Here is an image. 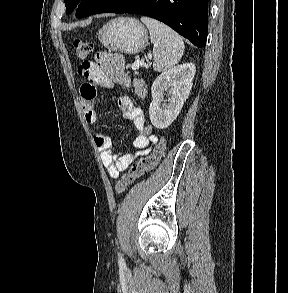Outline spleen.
<instances>
[{
  "mask_svg": "<svg viewBox=\"0 0 288 293\" xmlns=\"http://www.w3.org/2000/svg\"><path fill=\"white\" fill-rule=\"evenodd\" d=\"M148 27L153 43V68L164 72L175 66L181 59L185 45L180 35L167 25L149 17H141Z\"/></svg>",
  "mask_w": 288,
  "mask_h": 293,
  "instance_id": "spleen-1",
  "label": "spleen"
}]
</instances>
